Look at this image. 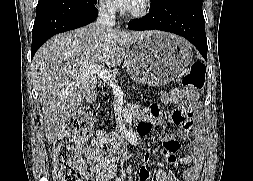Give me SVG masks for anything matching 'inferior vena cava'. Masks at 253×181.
<instances>
[{"mask_svg": "<svg viewBox=\"0 0 253 181\" xmlns=\"http://www.w3.org/2000/svg\"><path fill=\"white\" fill-rule=\"evenodd\" d=\"M116 11L117 8L114 4L109 2L101 3L96 24L103 28H113L115 26Z\"/></svg>", "mask_w": 253, "mask_h": 181, "instance_id": "602c4592", "label": "inferior vena cava"}]
</instances>
